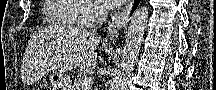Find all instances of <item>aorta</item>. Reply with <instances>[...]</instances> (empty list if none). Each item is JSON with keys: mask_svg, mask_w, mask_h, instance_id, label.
<instances>
[{"mask_svg": "<svg viewBox=\"0 0 216 90\" xmlns=\"http://www.w3.org/2000/svg\"><path fill=\"white\" fill-rule=\"evenodd\" d=\"M147 6H139L133 12L126 32L125 44L121 60L117 64V70L114 72L110 90H125L126 84L131 76L134 64L139 56L140 46L142 44L144 32L148 24Z\"/></svg>", "mask_w": 216, "mask_h": 90, "instance_id": "obj_1", "label": "aorta"}]
</instances>
